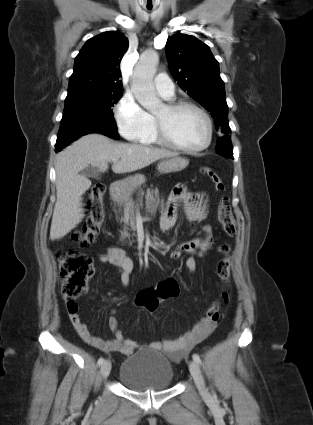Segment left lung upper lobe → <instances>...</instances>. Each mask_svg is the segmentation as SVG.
I'll return each instance as SVG.
<instances>
[{
	"mask_svg": "<svg viewBox=\"0 0 313 425\" xmlns=\"http://www.w3.org/2000/svg\"><path fill=\"white\" fill-rule=\"evenodd\" d=\"M165 50L179 86L210 112L220 132L230 133L224 82L209 47L194 36L175 34L168 38ZM216 149L221 155L233 157L230 139L217 142Z\"/></svg>",
	"mask_w": 313,
	"mask_h": 425,
	"instance_id": "5c2ea615",
	"label": "left lung upper lobe"
}]
</instances>
